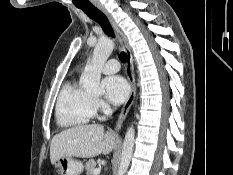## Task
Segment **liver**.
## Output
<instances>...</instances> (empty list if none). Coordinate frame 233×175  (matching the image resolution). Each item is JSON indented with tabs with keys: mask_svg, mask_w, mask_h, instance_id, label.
Masks as SVG:
<instances>
[{
	"mask_svg": "<svg viewBox=\"0 0 233 175\" xmlns=\"http://www.w3.org/2000/svg\"><path fill=\"white\" fill-rule=\"evenodd\" d=\"M116 145L115 135L105 133L99 124L79 125L55 135L50 145V160L54 164L61 157L90 158L107 155Z\"/></svg>",
	"mask_w": 233,
	"mask_h": 175,
	"instance_id": "liver-1",
	"label": "liver"
}]
</instances>
